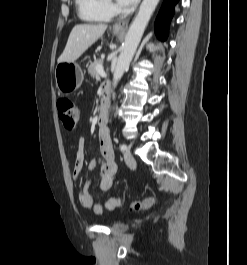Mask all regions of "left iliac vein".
<instances>
[{
	"label": "left iliac vein",
	"mask_w": 247,
	"mask_h": 265,
	"mask_svg": "<svg viewBox=\"0 0 247 265\" xmlns=\"http://www.w3.org/2000/svg\"><path fill=\"white\" fill-rule=\"evenodd\" d=\"M123 156H124V161L126 165L130 168H134L136 165V162L128 149L123 152Z\"/></svg>",
	"instance_id": "left-iliac-vein-1"
}]
</instances>
